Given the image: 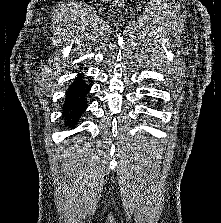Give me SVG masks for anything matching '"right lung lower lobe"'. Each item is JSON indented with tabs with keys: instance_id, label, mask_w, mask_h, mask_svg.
I'll return each instance as SVG.
<instances>
[{
	"instance_id": "1",
	"label": "right lung lower lobe",
	"mask_w": 221,
	"mask_h": 223,
	"mask_svg": "<svg viewBox=\"0 0 221 223\" xmlns=\"http://www.w3.org/2000/svg\"><path fill=\"white\" fill-rule=\"evenodd\" d=\"M89 90L90 87L82 80L81 75H79L68 88L63 106L66 126L74 127L77 124L79 117L87 108L85 96Z\"/></svg>"
}]
</instances>
